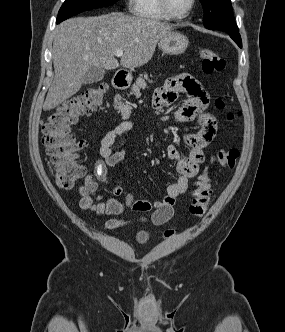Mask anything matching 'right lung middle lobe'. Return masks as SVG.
Masks as SVG:
<instances>
[{"label":"right lung middle lobe","mask_w":285,"mask_h":332,"mask_svg":"<svg viewBox=\"0 0 285 332\" xmlns=\"http://www.w3.org/2000/svg\"><path fill=\"white\" fill-rule=\"evenodd\" d=\"M117 0H65L58 12L57 22L93 8L113 5Z\"/></svg>","instance_id":"dd1d6c3e"}]
</instances>
